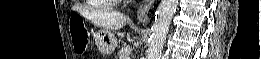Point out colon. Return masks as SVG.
<instances>
[{"label":"colon","mask_w":261,"mask_h":59,"mask_svg":"<svg viewBox=\"0 0 261 59\" xmlns=\"http://www.w3.org/2000/svg\"><path fill=\"white\" fill-rule=\"evenodd\" d=\"M72 36L76 50L78 52H83L88 39L86 32L82 29H73Z\"/></svg>","instance_id":"obj_1"}]
</instances>
